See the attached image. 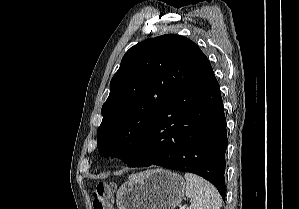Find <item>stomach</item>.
I'll return each instance as SVG.
<instances>
[{"mask_svg": "<svg viewBox=\"0 0 299 209\" xmlns=\"http://www.w3.org/2000/svg\"><path fill=\"white\" fill-rule=\"evenodd\" d=\"M185 181L177 173L153 169L129 177L117 191L119 209H175L183 200Z\"/></svg>", "mask_w": 299, "mask_h": 209, "instance_id": "stomach-1", "label": "stomach"}]
</instances>
